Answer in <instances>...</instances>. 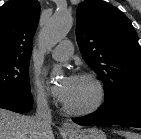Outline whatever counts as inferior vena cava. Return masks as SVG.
Returning a JSON list of instances; mask_svg holds the SVG:
<instances>
[{"instance_id": "602c4592", "label": "inferior vena cava", "mask_w": 141, "mask_h": 139, "mask_svg": "<svg viewBox=\"0 0 141 139\" xmlns=\"http://www.w3.org/2000/svg\"><path fill=\"white\" fill-rule=\"evenodd\" d=\"M52 115L45 94L37 95L36 114L34 116V139H46L51 132Z\"/></svg>"}]
</instances>
